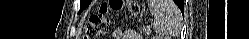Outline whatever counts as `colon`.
Returning <instances> with one entry per match:
<instances>
[{
	"instance_id": "5ec220e1",
	"label": "colon",
	"mask_w": 249,
	"mask_h": 39,
	"mask_svg": "<svg viewBox=\"0 0 249 39\" xmlns=\"http://www.w3.org/2000/svg\"><path fill=\"white\" fill-rule=\"evenodd\" d=\"M120 0L110 1L108 4H102L98 13L92 14L85 24L84 39H99L107 32L110 25V11H118Z\"/></svg>"
}]
</instances>
